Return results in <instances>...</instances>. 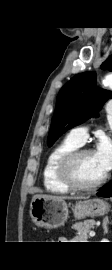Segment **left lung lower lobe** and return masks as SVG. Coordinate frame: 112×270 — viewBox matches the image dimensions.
<instances>
[{
  "instance_id": "1",
  "label": "left lung lower lobe",
  "mask_w": 112,
  "mask_h": 270,
  "mask_svg": "<svg viewBox=\"0 0 112 270\" xmlns=\"http://www.w3.org/2000/svg\"><path fill=\"white\" fill-rule=\"evenodd\" d=\"M101 197H111L112 196V181L103 186V189L97 193Z\"/></svg>"
}]
</instances>
